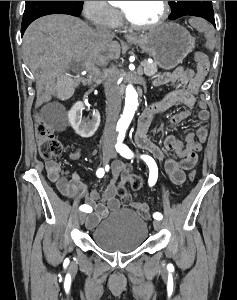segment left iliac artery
<instances>
[{
	"instance_id": "44dca946",
	"label": "left iliac artery",
	"mask_w": 237,
	"mask_h": 300,
	"mask_svg": "<svg viewBox=\"0 0 237 300\" xmlns=\"http://www.w3.org/2000/svg\"><path fill=\"white\" fill-rule=\"evenodd\" d=\"M125 134H120L118 136V143L115 146L116 147V151L118 153H120L121 156L127 158V159H131L134 154L133 152L128 148L127 145L123 144V140H124ZM141 158L146 162V164L149 167L150 170V174H149V186H153L156 181H157V177H158V168L156 165V162L154 161V159L148 155H141ZM154 219L156 220H161L163 218L162 214L159 212H156L153 214Z\"/></svg>"
}]
</instances>
